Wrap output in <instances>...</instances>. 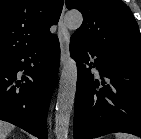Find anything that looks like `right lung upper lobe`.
Listing matches in <instances>:
<instances>
[{
	"mask_svg": "<svg viewBox=\"0 0 141 139\" xmlns=\"http://www.w3.org/2000/svg\"><path fill=\"white\" fill-rule=\"evenodd\" d=\"M62 7L63 0H0V59L48 42Z\"/></svg>",
	"mask_w": 141,
	"mask_h": 139,
	"instance_id": "obj_1",
	"label": "right lung upper lobe"
}]
</instances>
